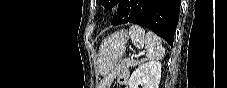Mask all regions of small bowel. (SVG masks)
I'll return each instance as SVG.
<instances>
[{
	"instance_id": "obj_1",
	"label": "small bowel",
	"mask_w": 227,
	"mask_h": 88,
	"mask_svg": "<svg viewBox=\"0 0 227 88\" xmlns=\"http://www.w3.org/2000/svg\"><path fill=\"white\" fill-rule=\"evenodd\" d=\"M114 77H117L118 82L122 86H126L129 81L130 72L122 65L115 66L113 72L109 73L102 81L103 88H109L112 84Z\"/></svg>"
}]
</instances>
